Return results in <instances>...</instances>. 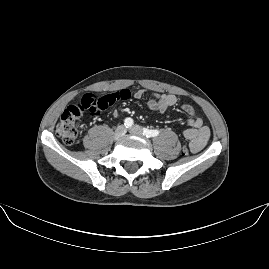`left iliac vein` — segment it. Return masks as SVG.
I'll list each match as a JSON object with an SVG mask.
<instances>
[{"instance_id":"obj_1","label":"left iliac vein","mask_w":269,"mask_h":269,"mask_svg":"<svg viewBox=\"0 0 269 269\" xmlns=\"http://www.w3.org/2000/svg\"><path fill=\"white\" fill-rule=\"evenodd\" d=\"M129 132L134 135L142 136L143 129L139 125H134L129 129Z\"/></svg>"}]
</instances>
